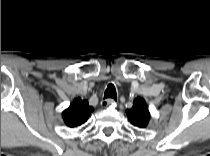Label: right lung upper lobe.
Wrapping results in <instances>:
<instances>
[{
	"mask_svg": "<svg viewBox=\"0 0 210 156\" xmlns=\"http://www.w3.org/2000/svg\"><path fill=\"white\" fill-rule=\"evenodd\" d=\"M93 111L86 100L76 98L72 104L64 110L62 117L67 126L74 128L85 123Z\"/></svg>",
	"mask_w": 210,
	"mask_h": 156,
	"instance_id": "cb5924a9",
	"label": "right lung upper lobe"
}]
</instances>
